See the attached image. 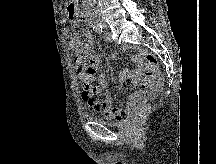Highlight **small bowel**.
Segmentation results:
<instances>
[{
	"label": "small bowel",
	"mask_w": 216,
	"mask_h": 164,
	"mask_svg": "<svg viewBox=\"0 0 216 164\" xmlns=\"http://www.w3.org/2000/svg\"><path fill=\"white\" fill-rule=\"evenodd\" d=\"M83 38L84 40L82 41L78 36H74L70 42L71 49L79 55V57L75 59V66L78 72V77L82 81V99L90 108L96 112L102 113L108 119L122 120L141 100L143 92L131 95L126 105L113 107L112 98L106 89L107 80L105 76L100 77L99 85H92L94 79L93 74L98 69L100 57L94 51V39L92 33L89 30H85L83 32ZM85 58L90 59L89 66L93 68V72L86 73L80 70V65L84 64ZM133 63L136 66L134 70H124L120 73L119 80L121 83H124L127 79L138 81L143 74L142 57L140 52L133 56ZM103 92H106L107 96L104 102H100L96 97Z\"/></svg>",
	"instance_id": "c3829d8e"
}]
</instances>
